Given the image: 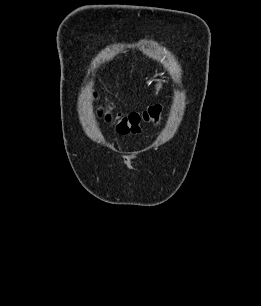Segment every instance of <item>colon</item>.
<instances>
[{
	"mask_svg": "<svg viewBox=\"0 0 261 306\" xmlns=\"http://www.w3.org/2000/svg\"><path fill=\"white\" fill-rule=\"evenodd\" d=\"M160 105L150 106L142 112L121 113L115 111L108 102L97 105V114L114 125L120 134L138 133L142 123H156L161 115Z\"/></svg>",
	"mask_w": 261,
	"mask_h": 306,
	"instance_id": "colon-1",
	"label": "colon"
}]
</instances>
